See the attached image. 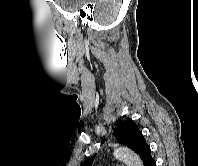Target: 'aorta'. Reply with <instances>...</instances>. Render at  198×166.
<instances>
[{
    "mask_svg": "<svg viewBox=\"0 0 198 166\" xmlns=\"http://www.w3.org/2000/svg\"><path fill=\"white\" fill-rule=\"evenodd\" d=\"M113 155L115 158L123 161L127 166H143V162L140 157L129 148H116Z\"/></svg>",
    "mask_w": 198,
    "mask_h": 166,
    "instance_id": "762f6f07",
    "label": "aorta"
}]
</instances>
